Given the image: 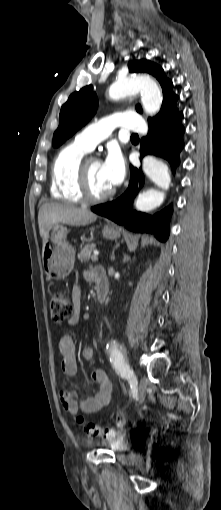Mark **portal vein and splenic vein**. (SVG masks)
Listing matches in <instances>:
<instances>
[{
	"label": "portal vein and splenic vein",
	"instance_id": "1",
	"mask_svg": "<svg viewBox=\"0 0 221 510\" xmlns=\"http://www.w3.org/2000/svg\"><path fill=\"white\" fill-rule=\"evenodd\" d=\"M91 260H92L93 262L98 261V253H94V254L91 256Z\"/></svg>",
	"mask_w": 221,
	"mask_h": 510
}]
</instances>
